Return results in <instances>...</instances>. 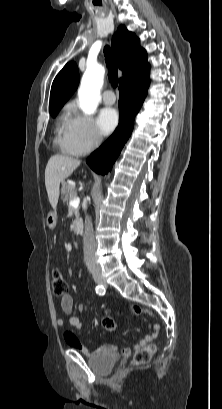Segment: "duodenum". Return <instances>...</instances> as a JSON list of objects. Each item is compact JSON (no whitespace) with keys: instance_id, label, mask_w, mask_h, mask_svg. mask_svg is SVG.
<instances>
[{"instance_id":"1","label":"duodenum","mask_w":222,"mask_h":409,"mask_svg":"<svg viewBox=\"0 0 222 409\" xmlns=\"http://www.w3.org/2000/svg\"><path fill=\"white\" fill-rule=\"evenodd\" d=\"M73 230L77 233V234H83V224L80 220H75L73 222Z\"/></svg>"}]
</instances>
